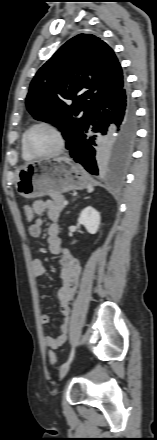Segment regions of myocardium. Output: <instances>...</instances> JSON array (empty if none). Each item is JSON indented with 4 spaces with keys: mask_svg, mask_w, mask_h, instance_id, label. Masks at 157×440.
Instances as JSON below:
<instances>
[{
    "mask_svg": "<svg viewBox=\"0 0 157 440\" xmlns=\"http://www.w3.org/2000/svg\"><path fill=\"white\" fill-rule=\"evenodd\" d=\"M37 127H46V128H49V129L52 130V131L55 133V135L57 136V139H58V146H57V148H56L53 152L48 153V154H37V153H35V152L30 148V146H29V142H28L29 135H30V133L32 132V130H34V129L37 128ZM24 146H25L26 150L28 151V153H29L32 157H49V156H55V155L61 154V153L65 150V148H66V137H65V135H64L63 130H62L57 124H55V123H53V122H49V121H39V122L33 124L32 126H30V127L26 130V132H25V134H24Z\"/></svg>",
    "mask_w": 157,
    "mask_h": 440,
    "instance_id": "obj_1",
    "label": "myocardium"
}]
</instances>
